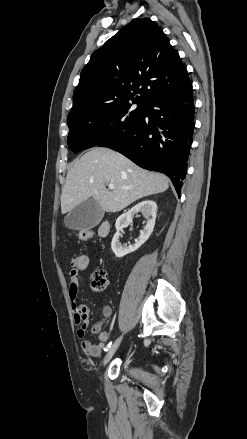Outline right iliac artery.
<instances>
[{
  "mask_svg": "<svg viewBox=\"0 0 247 439\" xmlns=\"http://www.w3.org/2000/svg\"><path fill=\"white\" fill-rule=\"evenodd\" d=\"M112 342H109L107 346L104 348V351H107L111 347Z\"/></svg>",
  "mask_w": 247,
  "mask_h": 439,
  "instance_id": "82829eb1",
  "label": "right iliac artery"
}]
</instances>
